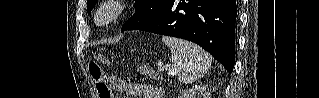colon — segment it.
I'll return each instance as SVG.
<instances>
[{
    "label": "colon",
    "mask_w": 319,
    "mask_h": 98,
    "mask_svg": "<svg viewBox=\"0 0 319 98\" xmlns=\"http://www.w3.org/2000/svg\"><path fill=\"white\" fill-rule=\"evenodd\" d=\"M107 62V59L103 56L99 57L98 62H91L88 66L89 73L93 79V81L96 83L97 91L99 98H111V91L106 83V77L105 72L102 68L101 64H104ZM140 73L150 79H157V73L155 70L149 66V65H142L140 67Z\"/></svg>",
    "instance_id": "5ec220e1"
}]
</instances>
